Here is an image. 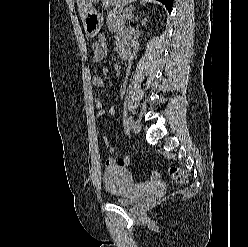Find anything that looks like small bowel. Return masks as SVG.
Instances as JSON below:
<instances>
[{
	"mask_svg": "<svg viewBox=\"0 0 248 247\" xmlns=\"http://www.w3.org/2000/svg\"><path fill=\"white\" fill-rule=\"evenodd\" d=\"M117 49H119L121 52L124 49H127V45L125 40L122 37H119L117 40ZM106 55V45H105V38L103 36H99L96 41L93 42L91 47V62L97 63L100 60H102ZM92 84L96 87H104L105 82L100 74H94L92 76ZM95 108L97 111V117L101 118L104 115H113L115 113V109L113 106H110L108 108H103L102 101L99 98H96L94 101ZM104 144L107 147L108 151L110 153L115 152V147H113L107 138H104ZM107 168L112 167H127L130 164V157L125 156L122 158H112L109 157L105 161Z\"/></svg>",
	"mask_w": 248,
	"mask_h": 247,
	"instance_id": "small-bowel-1",
	"label": "small bowel"
}]
</instances>
